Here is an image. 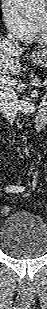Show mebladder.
Segmentation results:
<instances>
[{
    "label": "bladder",
    "instance_id": "bladder-1",
    "mask_svg": "<svg viewBox=\"0 0 47 309\" xmlns=\"http://www.w3.org/2000/svg\"><path fill=\"white\" fill-rule=\"evenodd\" d=\"M0 246L5 254L15 258L43 256L47 250V226L35 214L13 213L2 225Z\"/></svg>",
    "mask_w": 47,
    "mask_h": 309
}]
</instances>
